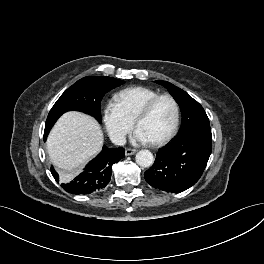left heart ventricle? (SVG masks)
<instances>
[{
  "mask_svg": "<svg viewBox=\"0 0 264 264\" xmlns=\"http://www.w3.org/2000/svg\"><path fill=\"white\" fill-rule=\"evenodd\" d=\"M175 117L173 103L163 98L159 100L151 113L143 119L138 127L150 141H156L164 137L171 129Z\"/></svg>",
  "mask_w": 264,
  "mask_h": 264,
  "instance_id": "b2bd125f",
  "label": "left heart ventricle"
}]
</instances>
